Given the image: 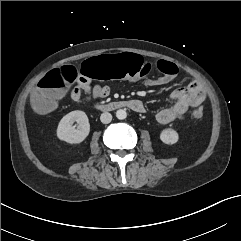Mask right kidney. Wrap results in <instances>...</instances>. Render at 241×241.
I'll list each match as a JSON object with an SVG mask.
<instances>
[{
  "label": "right kidney",
  "mask_w": 241,
  "mask_h": 241,
  "mask_svg": "<svg viewBox=\"0 0 241 241\" xmlns=\"http://www.w3.org/2000/svg\"><path fill=\"white\" fill-rule=\"evenodd\" d=\"M77 122V128L73 123ZM90 132L87 115L83 111L75 110L65 115L57 127V137L69 144H79L85 140Z\"/></svg>",
  "instance_id": "right-kidney-1"
}]
</instances>
